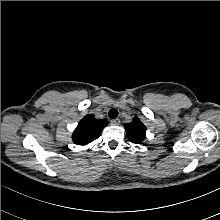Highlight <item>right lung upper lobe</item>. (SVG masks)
Segmentation results:
<instances>
[{"instance_id":"1","label":"right lung upper lobe","mask_w":220,"mask_h":220,"mask_svg":"<svg viewBox=\"0 0 220 220\" xmlns=\"http://www.w3.org/2000/svg\"><path fill=\"white\" fill-rule=\"evenodd\" d=\"M108 122L97 120L93 115H86L76 127L72 139L75 144L86 145L97 139Z\"/></svg>"}]
</instances>
